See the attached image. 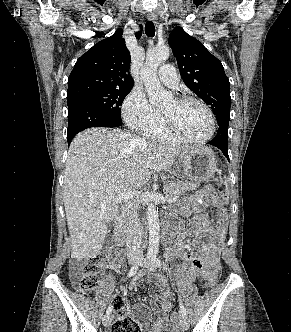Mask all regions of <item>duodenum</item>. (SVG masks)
Here are the masks:
<instances>
[{
  "mask_svg": "<svg viewBox=\"0 0 291 332\" xmlns=\"http://www.w3.org/2000/svg\"><path fill=\"white\" fill-rule=\"evenodd\" d=\"M114 233L116 240L121 244H127L128 243V235L127 232L123 226L122 218H119L116 222Z\"/></svg>",
  "mask_w": 291,
  "mask_h": 332,
  "instance_id": "1",
  "label": "duodenum"
}]
</instances>
